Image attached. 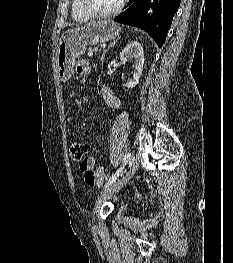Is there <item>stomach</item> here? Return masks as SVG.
Listing matches in <instances>:
<instances>
[{
	"mask_svg": "<svg viewBox=\"0 0 233 263\" xmlns=\"http://www.w3.org/2000/svg\"><path fill=\"white\" fill-rule=\"evenodd\" d=\"M119 33V25L111 20L88 23L64 32L60 38L57 52L59 79L65 82L71 78L76 59L85 53L88 45L114 40L119 36Z\"/></svg>",
	"mask_w": 233,
	"mask_h": 263,
	"instance_id": "0dacf381",
	"label": "stomach"
}]
</instances>
